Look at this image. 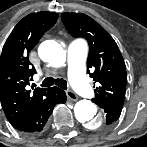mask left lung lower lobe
I'll return each mask as SVG.
<instances>
[{"label": "left lung lower lobe", "instance_id": "left-lung-lower-lobe-1", "mask_svg": "<svg viewBox=\"0 0 147 147\" xmlns=\"http://www.w3.org/2000/svg\"><path fill=\"white\" fill-rule=\"evenodd\" d=\"M123 103H124L123 99H117L98 105L106 113L105 125H111L112 123H114L119 119L122 111Z\"/></svg>", "mask_w": 147, "mask_h": 147}]
</instances>
